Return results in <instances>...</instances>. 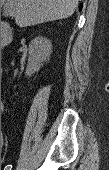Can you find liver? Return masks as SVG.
<instances>
[{"instance_id":"1","label":"liver","mask_w":109,"mask_h":170,"mask_svg":"<svg viewBox=\"0 0 109 170\" xmlns=\"http://www.w3.org/2000/svg\"><path fill=\"white\" fill-rule=\"evenodd\" d=\"M15 10V22L27 27L70 17L79 0H5Z\"/></svg>"}]
</instances>
